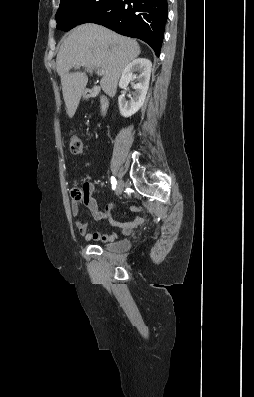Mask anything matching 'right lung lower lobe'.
Returning <instances> with one entry per match:
<instances>
[{
	"instance_id": "obj_1",
	"label": "right lung lower lobe",
	"mask_w": 254,
	"mask_h": 397,
	"mask_svg": "<svg viewBox=\"0 0 254 397\" xmlns=\"http://www.w3.org/2000/svg\"><path fill=\"white\" fill-rule=\"evenodd\" d=\"M167 18V0H114L104 13L90 23L141 39L159 56Z\"/></svg>"
}]
</instances>
